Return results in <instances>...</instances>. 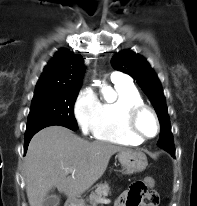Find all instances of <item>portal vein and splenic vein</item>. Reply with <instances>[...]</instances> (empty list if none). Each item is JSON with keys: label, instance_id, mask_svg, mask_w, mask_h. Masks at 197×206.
Returning a JSON list of instances; mask_svg holds the SVG:
<instances>
[{"label": "portal vein and splenic vein", "instance_id": "obj_1", "mask_svg": "<svg viewBox=\"0 0 197 206\" xmlns=\"http://www.w3.org/2000/svg\"><path fill=\"white\" fill-rule=\"evenodd\" d=\"M68 171H70V172H71V171H72V169H69Z\"/></svg>", "mask_w": 197, "mask_h": 206}]
</instances>
